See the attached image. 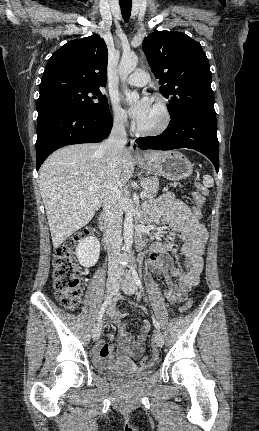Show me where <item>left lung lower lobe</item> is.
<instances>
[{"mask_svg": "<svg viewBox=\"0 0 259 431\" xmlns=\"http://www.w3.org/2000/svg\"><path fill=\"white\" fill-rule=\"evenodd\" d=\"M137 141L141 149H194L208 157L218 173L216 114L199 110L184 111L171 117L167 129L161 135L139 138Z\"/></svg>", "mask_w": 259, "mask_h": 431, "instance_id": "left-lung-lower-lobe-1", "label": "left lung lower lobe"}]
</instances>
